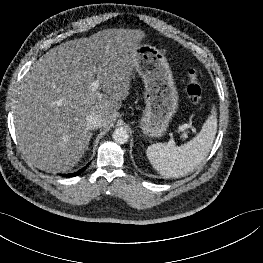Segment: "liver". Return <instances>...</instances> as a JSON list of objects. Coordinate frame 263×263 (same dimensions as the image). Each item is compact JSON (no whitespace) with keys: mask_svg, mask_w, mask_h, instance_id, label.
Masks as SVG:
<instances>
[{"mask_svg":"<svg viewBox=\"0 0 263 263\" xmlns=\"http://www.w3.org/2000/svg\"><path fill=\"white\" fill-rule=\"evenodd\" d=\"M144 37L138 29H105L61 43L32 65L13 100L16 137L27 161L52 173L78 164L90 141L87 116L99 113L102 127L113 125Z\"/></svg>","mask_w":263,"mask_h":263,"instance_id":"1","label":"liver"}]
</instances>
